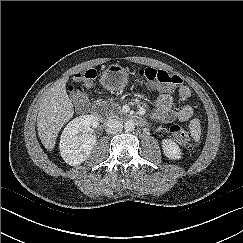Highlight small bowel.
<instances>
[{"mask_svg": "<svg viewBox=\"0 0 243 243\" xmlns=\"http://www.w3.org/2000/svg\"><path fill=\"white\" fill-rule=\"evenodd\" d=\"M191 95L189 87L183 85L178 90L180 101H186ZM173 98L169 93H161L154 105V115L163 122L188 121L193 115V109L189 105L178 109L172 107Z\"/></svg>", "mask_w": 243, "mask_h": 243, "instance_id": "c3829d8e", "label": "small bowel"}]
</instances>
